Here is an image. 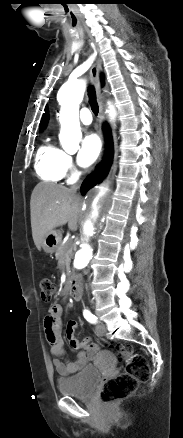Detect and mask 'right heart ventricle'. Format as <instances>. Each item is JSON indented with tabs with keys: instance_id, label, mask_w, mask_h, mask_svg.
<instances>
[{
	"instance_id": "e07e8e85",
	"label": "right heart ventricle",
	"mask_w": 183,
	"mask_h": 438,
	"mask_svg": "<svg viewBox=\"0 0 183 438\" xmlns=\"http://www.w3.org/2000/svg\"><path fill=\"white\" fill-rule=\"evenodd\" d=\"M65 154L64 151L50 143L42 145L36 157L35 167L38 175L46 181H60L66 174L63 165Z\"/></svg>"
}]
</instances>
